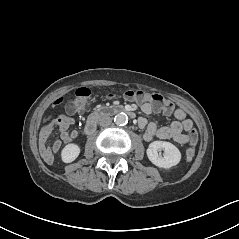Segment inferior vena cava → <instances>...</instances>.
I'll return each mask as SVG.
<instances>
[{"label":"inferior vena cava","mask_w":239,"mask_h":239,"mask_svg":"<svg viewBox=\"0 0 239 239\" xmlns=\"http://www.w3.org/2000/svg\"><path fill=\"white\" fill-rule=\"evenodd\" d=\"M112 122V119L110 116H107V115H104V116H101L98 120V124L101 126V127H107L111 124Z\"/></svg>","instance_id":"602c4592"}]
</instances>
